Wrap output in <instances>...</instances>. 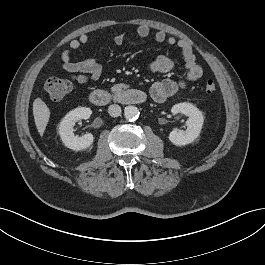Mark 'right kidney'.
<instances>
[{"instance_id":"obj_1","label":"right kidney","mask_w":265,"mask_h":265,"mask_svg":"<svg viewBox=\"0 0 265 265\" xmlns=\"http://www.w3.org/2000/svg\"><path fill=\"white\" fill-rule=\"evenodd\" d=\"M92 114L90 108L78 107L68 112L59 124V135L62 142L67 148L74 151H79L90 147L93 144L94 138L91 133L83 136L74 135V125L79 119H88Z\"/></svg>"}]
</instances>
